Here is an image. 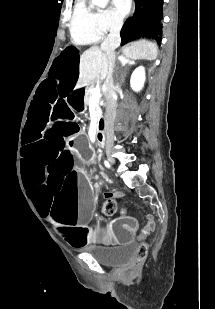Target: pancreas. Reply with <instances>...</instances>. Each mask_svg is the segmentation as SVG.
I'll return each mask as SVG.
<instances>
[{
	"mask_svg": "<svg viewBox=\"0 0 215 309\" xmlns=\"http://www.w3.org/2000/svg\"><path fill=\"white\" fill-rule=\"evenodd\" d=\"M93 88H95V84H91V86H86L85 96H84L85 106H89V104H90V98L92 96ZM94 108L96 110V114H97L98 118H100V116H102L100 100H97V102H95Z\"/></svg>",
	"mask_w": 215,
	"mask_h": 309,
	"instance_id": "1",
	"label": "pancreas"
}]
</instances>
